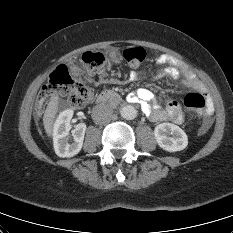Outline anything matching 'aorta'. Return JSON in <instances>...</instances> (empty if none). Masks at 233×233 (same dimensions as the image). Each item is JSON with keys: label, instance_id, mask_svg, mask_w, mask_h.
Returning <instances> with one entry per match:
<instances>
[{"label": "aorta", "instance_id": "obj_1", "mask_svg": "<svg viewBox=\"0 0 233 233\" xmlns=\"http://www.w3.org/2000/svg\"><path fill=\"white\" fill-rule=\"evenodd\" d=\"M120 114L126 120H133L137 116V110L131 105H126L121 108Z\"/></svg>", "mask_w": 233, "mask_h": 233}]
</instances>
